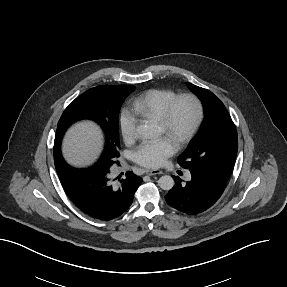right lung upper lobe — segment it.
<instances>
[{"mask_svg":"<svg viewBox=\"0 0 287 287\" xmlns=\"http://www.w3.org/2000/svg\"><path fill=\"white\" fill-rule=\"evenodd\" d=\"M61 139H62L61 133L57 132L54 141V162L57 165H60L61 160L63 159L60 152Z\"/></svg>","mask_w":287,"mask_h":287,"instance_id":"1","label":"right lung upper lobe"}]
</instances>
